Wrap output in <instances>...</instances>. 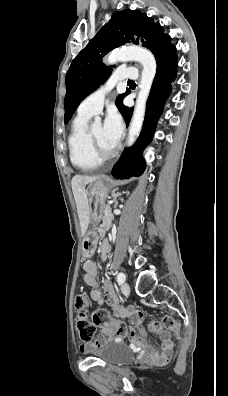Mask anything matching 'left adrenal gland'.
I'll use <instances>...</instances> for the list:
<instances>
[{
    "instance_id": "left-adrenal-gland-1",
    "label": "left adrenal gland",
    "mask_w": 228,
    "mask_h": 396,
    "mask_svg": "<svg viewBox=\"0 0 228 396\" xmlns=\"http://www.w3.org/2000/svg\"><path fill=\"white\" fill-rule=\"evenodd\" d=\"M119 196H121V193H115V192L112 193V197H113V200H114V206H116L118 204L117 198Z\"/></svg>"
}]
</instances>
